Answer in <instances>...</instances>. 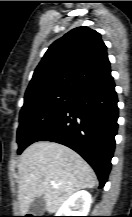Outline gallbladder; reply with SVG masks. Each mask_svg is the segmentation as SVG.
<instances>
[{
    "instance_id": "bac80fb5",
    "label": "gallbladder",
    "mask_w": 132,
    "mask_h": 217,
    "mask_svg": "<svg viewBox=\"0 0 132 217\" xmlns=\"http://www.w3.org/2000/svg\"><path fill=\"white\" fill-rule=\"evenodd\" d=\"M45 199L43 196L37 197L29 206L28 213L33 216H42L45 212Z\"/></svg>"
}]
</instances>
